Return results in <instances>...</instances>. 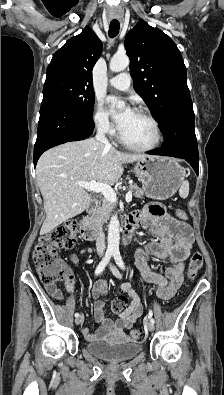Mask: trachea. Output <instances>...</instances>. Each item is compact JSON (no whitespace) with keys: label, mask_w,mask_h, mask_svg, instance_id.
I'll use <instances>...</instances> for the list:
<instances>
[{"label":"trachea","mask_w":224,"mask_h":395,"mask_svg":"<svg viewBox=\"0 0 224 395\" xmlns=\"http://www.w3.org/2000/svg\"><path fill=\"white\" fill-rule=\"evenodd\" d=\"M119 29H120V24L118 21H112L110 23V27H109V37L110 38H114L118 35L119 33Z\"/></svg>","instance_id":"3493384b"}]
</instances>
